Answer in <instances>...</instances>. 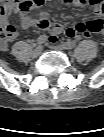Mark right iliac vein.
Masks as SVG:
<instances>
[{"mask_svg":"<svg viewBox=\"0 0 104 137\" xmlns=\"http://www.w3.org/2000/svg\"><path fill=\"white\" fill-rule=\"evenodd\" d=\"M41 53H42V47L41 46H37L34 49V51H33V56L34 57H38Z\"/></svg>","mask_w":104,"mask_h":137,"instance_id":"63e3f726","label":"right iliac vein"}]
</instances>
